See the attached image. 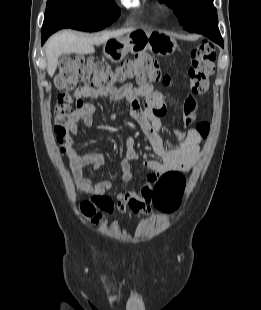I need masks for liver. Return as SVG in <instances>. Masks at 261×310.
Returning a JSON list of instances; mask_svg holds the SVG:
<instances>
[{
    "mask_svg": "<svg viewBox=\"0 0 261 310\" xmlns=\"http://www.w3.org/2000/svg\"><path fill=\"white\" fill-rule=\"evenodd\" d=\"M135 28H125L113 32H105L100 36L77 35L72 31H63L49 38L46 43L47 72L52 77L56 71L58 58L62 54H91L95 52L94 45L107 42L112 38H120L131 33Z\"/></svg>",
    "mask_w": 261,
    "mask_h": 310,
    "instance_id": "6515ba94",
    "label": "liver"
}]
</instances>
